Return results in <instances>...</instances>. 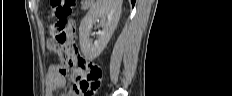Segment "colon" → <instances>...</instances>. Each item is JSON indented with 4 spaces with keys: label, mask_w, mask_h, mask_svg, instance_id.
I'll use <instances>...</instances> for the list:
<instances>
[{
    "label": "colon",
    "mask_w": 232,
    "mask_h": 96,
    "mask_svg": "<svg viewBox=\"0 0 232 96\" xmlns=\"http://www.w3.org/2000/svg\"><path fill=\"white\" fill-rule=\"evenodd\" d=\"M51 24L50 34L56 44L54 50L62 58L75 64L74 79L79 92L84 96H92L98 88L102 77V69L85 68V63H91L83 59L75 46L67 44L74 35H68L67 22L72 20L76 2L75 0H51Z\"/></svg>",
    "instance_id": "colon-1"
}]
</instances>
